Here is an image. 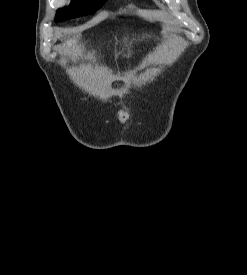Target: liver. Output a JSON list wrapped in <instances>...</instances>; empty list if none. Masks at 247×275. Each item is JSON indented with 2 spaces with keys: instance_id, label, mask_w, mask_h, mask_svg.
Instances as JSON below:
<instances>
[{
  "instance_id": "obj_1",
  "label": "liver",
  "mask_w": 247,
  "mask_h": 275,
  "mask_svg": "<svg viewBox=\"0 0 247 275\" xmlns=\"http://www.w3.org/2000/svg\"><path fill=\"white\" fill-rule=\"evenodd\" d=\"M67 43H68V45H69V46H71V45H72V41H69V42H67Z\"/></svg>"
}]
</instances>
